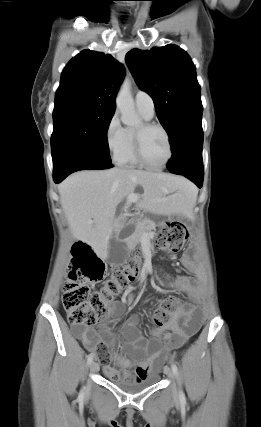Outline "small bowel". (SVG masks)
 Returning <instances> with one entry per match:
<instances>
[{
  "mask_svg": "<svg viewBox=\"0 0 261 427\" xmlns=\"http://www.w3.org/2000/svg\"><path fill=\"white\" fill-rule=\"evenodd\" d=\"M146 257L149 259V253L146 254ZM181 264L194 275L176 278L165 277L162 283L169 289L185 293L195 305H199L202 301L200 267L188 253L182 256ZM146 270H151L149 263L146 265ZM133 297L132 294L126 295L113 304L111 308L113 318L103 321L97 329L78 326L73 328L74 335L82 341L84 346L89 351L98 353L99 361L104 367L105 374L111 378L142 379L158 371L165 362L168 353L180 348L196 332L202 322L203 315L197 306L179 308L171 314L168 323L164 327L167 332L163 334L162 343L158 337L145 338L138 329L140 317L138 315L131 316L123 326V347L128 352L148 355L138 361L133 373L120 374L110 366V356L107 349L113 347L118 341L111 333L110 323L117 320L123 312V306L130 304L133 301Z\"/></svg>",
  "mask_w": 261,
  "mask_h": 427,
  "instance_id": "1",
  "label": "small bowel"
}]
</instances>
